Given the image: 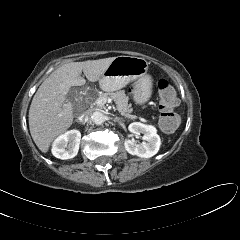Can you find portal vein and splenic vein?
I'll use <instances>...</instances> for the list:
<instances>
[{
  "mask_svg": "<svg viewBox=\"0 0 240 240\" xmlns=\"http://www.w3.org/2000/svg\"><path fill=\"white\" fill-rule=\"evenodd\" d=\"M107 102H108V103L111 102V99H106V98H104V97H99V98H97L96 101H95V103L98 104V105H104V104H106Z\"/></svg>",
  "mask_w": 240,
  "mask_h": 240,
  "instance_id": "1",
  "label": "portal vein and splenic vein"
}]
</instances>
